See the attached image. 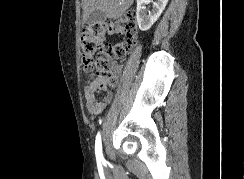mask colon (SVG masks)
Instances as JSON below:
<instances>
[{
    "label": "colon",
    "instance_id": "colon-1",
    "mask_svg": "<svg viewBox=\"0 0 244 179\" xmlns=\"http://www.w3.org/2000/svg\"><path fill=\"white\" fill-rule=\"evenodd\" d=\"M108 33L122 35L133 39L136 24L131 17L113 22H102L99 26L92 24L81 30L80 49L82 54V68L89 86L98 89H110L115 81L110 76L111 65L114 60H122L127 55L130 44H104V36Z\"/></svg>",
    "mask_w": 244,
    "mask_h": 179
}]
</instances>
